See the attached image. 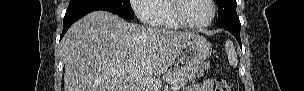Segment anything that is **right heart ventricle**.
Returning <instances> with one entry per match:
<instances>
[{"mask_svg":"<svg viewBox=\"0 0 304 91\" xmlns=\"http://www.w3.org/2000/svg\"><path fill=\"white\" fill-rule=\"evenodd\" d=\"M173 0H157L153 5V11L156 20L152 23L156 27L169 29H180L182 26L176 22L171 15V6Z\"/></svg>","mask_w":304,"mask_h":91,"instance_id":"1","label":"right heart ventricle"}]
</instances>
